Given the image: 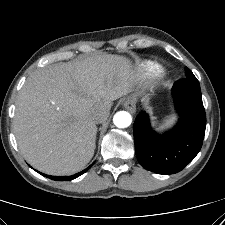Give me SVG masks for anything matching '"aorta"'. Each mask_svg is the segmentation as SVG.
Masks as SVG:
<instances>
[{"mask_svg": "<svg viewBox=\"0 0 225 225\" xmlns=\"http://www.w3.org/2000/svg\"><path fill=\"white\" fill-rule=\"evenodd\" d=\"M132 122V116L127 111H119L113 117V123L118 128H127Z\"/></svg>", "mask_w": 225, "mask_h": 225, "instance_id": "1", "label": "aorta"}]
</instances>
